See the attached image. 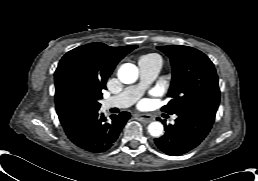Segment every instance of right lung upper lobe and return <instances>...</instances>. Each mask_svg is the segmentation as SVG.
Listing matches in <instances>:
<instances>
[{"label":"right lung upper lobe","instance_id":"1","mask_svg":"<svg viewBox=\"0 0 258 181\" xmlns=\"http://www.w3.org/2000/svg\"><path fill=\"white\" fill-rule=\"evenodd\" d=\"M137 45L109 47L103 43H90L67 52L55 71L56 87L69 73L74 74L93 90L102 94L106 81L116 64Z\"/></svg>","mask_w":258,"mask_h":181}]
</instances>
